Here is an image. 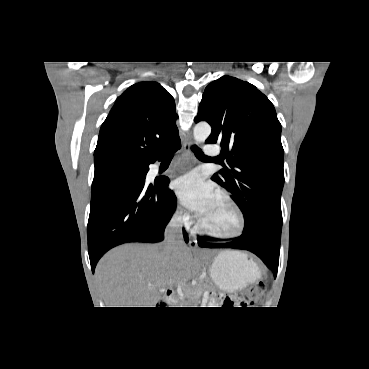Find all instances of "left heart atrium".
Returning <instances> with one entry per match:
<instances>
[{"label":"left heart atrium","instance_id":"left-heart-atrium-1","mask_svg":"<svg viewBox=\"0 0 369 369\" xmlns=\"http://www.w3.org/2000/svg\"><path fill=\"white\" fill-rule=\"evenodd\" d=\"M174 190L181 203L201 217L217 198L214 186L196 172L177 178L174 182Z\"/></svg>","mask_w":369,"mask_h":369}]
</instances>
